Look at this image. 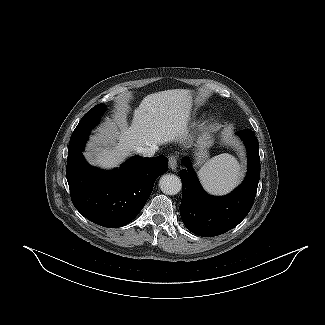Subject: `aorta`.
Here are the masks:
<instances>
[{
  "mask_svg": "<svg viewBox=\"0 0 325 325\" xmlns=\"http://www.w3.org/2000/svg\"><path fill=\"white\" fill-rule=\"evenodd\" d=\"M159 187L164 194L176 195L182 188L181 180L174 174H164L159 180Z\"/></svg>",
  "mask_w": 325,
  "mask_h": 325,
  "instance_id": "aorta-1",
  "label": "aorta"
}]
</instances>
